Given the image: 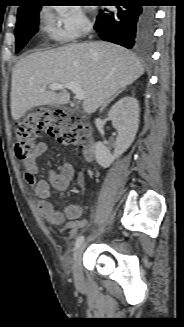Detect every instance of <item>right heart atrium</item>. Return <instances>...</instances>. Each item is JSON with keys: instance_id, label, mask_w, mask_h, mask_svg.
I'll return each instance as SVG.
<instances>
[{"instance_id": "obj_1", "label": "right heart atrium", "mask_w": 184, "mask_h": 327, "mask_svg": "<svg viewBox=\"0 0 184 327\" xmlns=\"http://www.w3.org/2000/svg\"><path fill=\"white\" fill-rule=\"evenodd\" d=\"M49 35L60 43H71L85 36L92 24L82 7L67 5L45 16Z\"/></svg>"}]
</instances>
